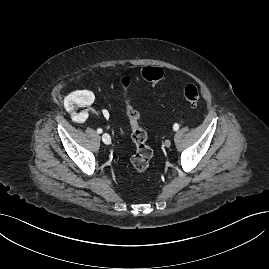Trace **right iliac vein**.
<instances>
[{"instance_id": "obj_1", "label": "right iliac vein", "mask_w": 269, "mask_h": 269, "mask_svg": "<svg viewBox=\"0 0 269 269\" xmlns=\"http://www.w3.org/2000/svg\"><path fill=\"white\" fill-rule=\"evenodd\" d=\"M102 140L105 144L109 145L111 143V137L108 133L102 135Z\"/></svg>"}]
</instances>
